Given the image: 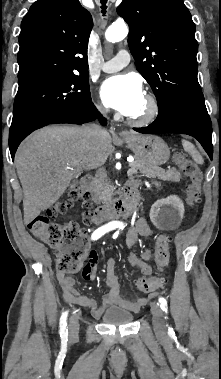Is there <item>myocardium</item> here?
<instances>
[{"mask_svg":"<svg viewBox=\"0 0 221 379\" xmlns=\"http://www.w3.org/2000/svg\"><path fill=\"white\" fill-rule=\"evenodd\" d=\"M147 103L146 111L139 117H129L128 122L135 126H146L152 123L158 116L159 104L156 97L152 94L145 96Z\"/></svg>","mask_w":221,"mask_h":379,"instance_id":"myocardium-1","label":"myocardium"}]
</instances>
